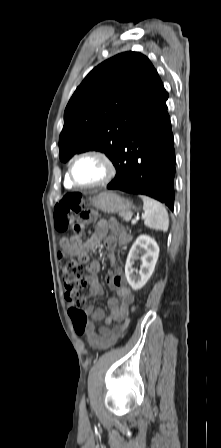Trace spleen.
<instances>
[{
	"mask_svg": "<svg viewBox=\"0 0 221 448\" xmlns=\"http://www.w3.org/2000/svg\"><path fill=\"white\" fill-rule=\"evenodd\" d=\"M140 198L143 200V210L146 214L145 226L166 232L169 227V217L165 207L150 197L141 195Z\"/></svg>",
	"mask_w": 221,
	"mask_h": 448,
	"instance_id": "obj_1",
	"label": "spleen"
}]
</instances>
